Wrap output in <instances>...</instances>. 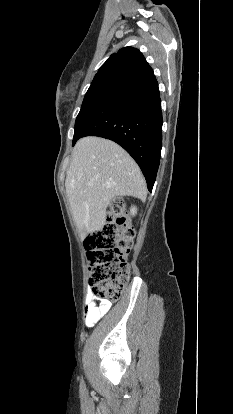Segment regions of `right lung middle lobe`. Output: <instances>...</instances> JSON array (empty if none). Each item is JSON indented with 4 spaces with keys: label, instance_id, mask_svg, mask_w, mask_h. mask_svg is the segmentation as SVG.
<instances>
[{
    "label": "right lung middle lobe",
    "instance_id": "dd1d6c3e",
    "mask_svg": "<svg viewBox=\"0 0 233 414\" xmlns=\"http://www.w3.org/2000/svg\"><path fill=\"white\" fill-rule=\"evenodd\" d=\"M132 83V80L119 76H104L94 79L84 97L81 110L77 116L73 142L76 139L78 127L87 113L109 98L123 93Z\"/></svg>",
    "mask_w": 233,
    "mask_h": 414
}]
</instances>
